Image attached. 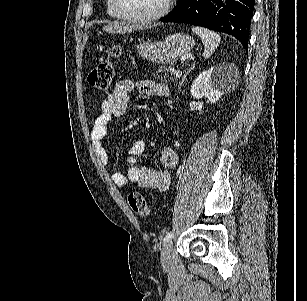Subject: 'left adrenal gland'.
Returning a JSON list of instances; mask_svg holds the SVG:
<instances>
[{"label":"left adrenal gland","mask_w":307,"mask_h":301,"mask_svg":"<svg viewBox=\"0 0 307 301\" xmlns=\"http://www.w3.org/2000/svg\"><path fill=\"white\" fill-rule=\"evenodd\" d=\"M192 68H194V66H191V68H189V70H187V72H185L184 76H182L181 82H180L178 88H181V86H182V84H183V82H184V80H185L187 74H189V72H190V70H192Z\"/></svg>","instance_id":"obj_1"}]
</instances>
